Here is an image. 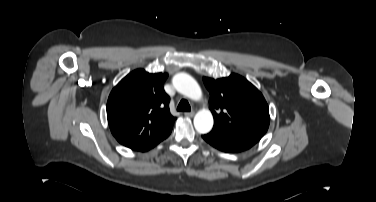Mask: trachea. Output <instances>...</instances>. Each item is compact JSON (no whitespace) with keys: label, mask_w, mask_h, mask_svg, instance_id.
I'll list each match as a JSON object with an SVG mask.
<instances>
[{"label":"trachea","mask_w":376,"mask_h":202,"mask_svg":"<svg viewBox=\"0 0 376 202\" xmlns=\"http://www.w3.org/2000/svg\"><path fill=\"white\" fill-rule=\"evenodd\" d=\"M178 111H190L191 107L187 100L183 99L180 101V103L177 106Z\"/></svg>","instance_id":"1"}]
</instances>
